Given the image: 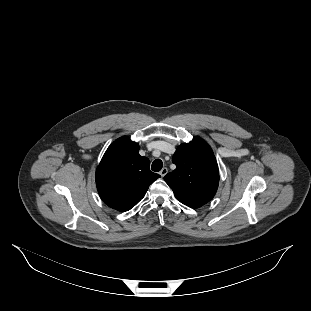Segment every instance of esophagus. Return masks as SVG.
Returning a JSON list of instances; mask_svg holds the SVG:
<instances>
[{
  "mask_svg": "<svg viewBox=\"0 0 311 311\" xmlns=\"http://www.w3.org/2000/svg\"><path fill=\"white\" fill-rule=\"evenodd\" d=\"M167 172H168L167 167H163L159 173L162 177H164L167 174Z\"/></svg>",
  "mask_w": 311,
  "mask_h": 311,
  "instance_id": "1",
  "label": "esophagus"
}]
</instances>
